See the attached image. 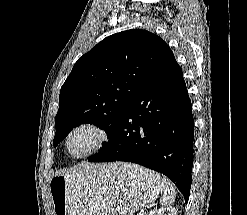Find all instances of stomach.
<instances>
[{
  "label": "stomach",
  "mask_w": 247,
  "mask_h": 215,
  "mask_svg": "<svg viewBox=\"0 0 247 215\" xmlns=\"http://www.w3.org/2000/svg\"><path fill=\"white\" fill-rule=\"evenodd\" d=\"M54 215H129L153 202L160 177L129 164L93 165L49 182Z\"/></svg>",
  "instance_id": "1"
}]
</instances>
